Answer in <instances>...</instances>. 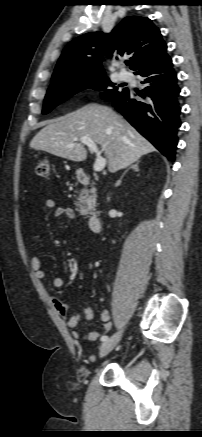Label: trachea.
I'll use <instances>...</instances> for the list:
<instances>
[{
  "label": "trachea",
  "mask_w": 202,
  "mask_h": 437,
  "mask_svg": "<svg viewBox=\"0 0 202 437\" xmlns=\"http://www.w3.org/2000/svg\"><path fill=\"white\" fill-rule=\"evenodd\" d=\"M126 65H130V62H129V61H127V62H126Z\"/></svg>",
  "instance_id": "3493384b"
}]
</instances>
